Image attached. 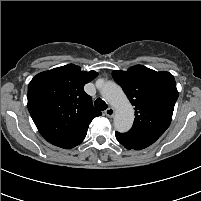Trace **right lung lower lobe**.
I'll return each instance as SVG.
<instances>
[{
    "label": "right lung lower lobe",
    "instance_id": "98d812e1",
    "mask_svg": "<svg viewBox=\"0 0 201 201\" xmlns=\"http://www.w3.org/2000/svg\"><path fill=\"white\" fill-rule=\"evenodd\" d=\"M82 141H78V142H75V143H72V144H67V145H63V146H59V147L64 148V149L73 148V147L77 146L78 144H80Z\"/></svg>",
    "mask_w": 201,
    "mask_h": 201
}]
</instances>
